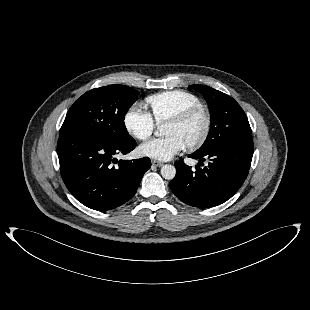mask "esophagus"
I'll list each match as a JSON object with an SVG mask.
<instances>
[{
    "instance_id": "34e87169",
    "label": "esophagus",
    "mask_w": 310,
    "mask_h": 310,
    "mask_svg": "<svg viewBox=\"0 0 310 310\" xmlns=\"http://www.w3.org/2000/svg\"><path fill=\"white\" fill-rule=\"evenodd\" d=\"M151 163H152V165L155 166V167H161V166L163 165L162 162L157 161V160H151Z\"/></svg>"
}]
</instances>
